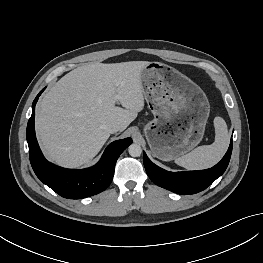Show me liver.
<instances>
[{
  "mask_svg": "<svg viewBox=\"0 0 263 263\" xmlns=\"http://www.w3.org/2000/svg\"><path fill=\"white\" fill-rule=\"evenodd\" d=\"M147 61L92 63L63 76L37 107L35 127L46 156L69 168L93 159L108 140L105 126L125 130L144 108ZM119 102L124 108L115 106Z\"/></svg>",
  "mask_w": 263,
  "mask_h": 263,
  "instance_id": "6515ba94",
  "label": "liver"
}]
</instances>
